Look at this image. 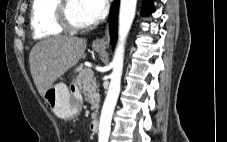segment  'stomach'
Returning a JSON list of instances; mask_svg holds the SVG:
<instances>
[{"instance_id": "0dacf381", "label": "stomach", "mask_w": 227, "mask_h": 142, "mask_svg": "<svg viewBox=\"0 0 227 142\" xmlns=\"http://www.w3.org/2000/svg\"><path fill=\"white\" fill-rule=\"evenodd\" d=\"M99 53L104 50L95 48ZM43 98L49 104L55 115L61 119L69 120L78 115L81 102L75 100L69 88L64 83H58L49 87L43 94Z\"/></svg>"}]
</instances>
